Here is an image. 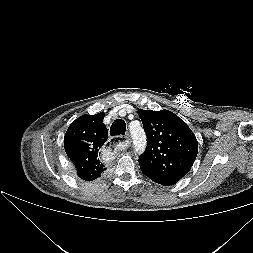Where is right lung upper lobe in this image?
<instances>
[{"instance_id": "right-lung-upper-lobe-1", "label": "right lung upper lobe", "mask_w": 253, "mask_h": 253, "mask_svg": "<svg viewBox=\"0 0 253 253\" xmlns=\"http://www.w3.org/2000/svg\"><path fill=\"white\" fill-rule=\"evenodd\" d=\"M103 119L104 112L82 115L68 127L64 137L67 156L84 181H94L106 170L99 159V149L108 139Z\"/></svg>"}]
</instances>
